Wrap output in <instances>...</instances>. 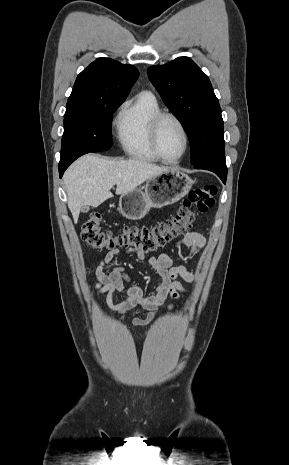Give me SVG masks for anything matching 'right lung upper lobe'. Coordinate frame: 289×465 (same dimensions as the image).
I'll return each instance as SVG.
<instances>
[{
	"instance_id": "1",
	"label": "right lung upper lobe",
	"mask_w": 289,
	"mask_h": 465,
	"mask_svg": "<svg viewBox=\"0 0 289 465\" xmlns=\"http://www.w3.org/2000/svg\"><path fill=\"white\" fill-rule=\"evenodd\" d=\"M138 76V70L132 65L98 58L78 75L65 115L86 113L94 106L124 100Z\"/></svg>"
}]
</instances>
